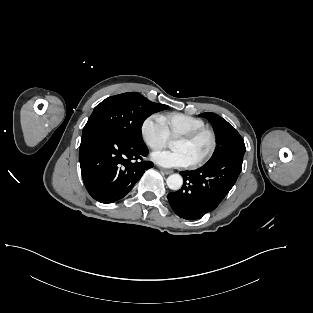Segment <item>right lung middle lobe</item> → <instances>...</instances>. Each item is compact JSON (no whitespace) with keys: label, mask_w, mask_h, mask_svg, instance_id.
Listing matches in <instances>:
<instances>
[{"label":"right lung middle lobe","mask_w":313,"mask_h":313,"mask_svg":"<svg viewBox=\"0 0 313 313\" xmlns=\"http://www.w3.org/2000/svg\"><path fill=\"white\" fill-rule=\"evenodd\" d=\"M136 92L109 97L98 104L86 125L82 136L96 130H107L128 140L143 141L141 127L144 120L154 112L167 109Z\"/></svg>","instance_id":"obj_1"}]
</instances>
